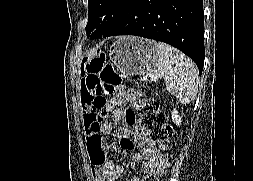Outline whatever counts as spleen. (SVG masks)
I'll return each instance as SVG.
<instances>
[{
  "label": "spleen",
  "mask_w": 253,
  "mask_h": 181,
  "mask_svg": "<svg viewBox=\"0 0 253 181\" xmlns=\"http://www.w3.org/2000/svg\"><path fill=\"white\" fill-rule=\"evenodd\" d=\"M157 49L156 74L164 79L166 90L176 95L181 103L194 100L198 92L199 72L193 61L165 43L158 42Z\"/></svg>",
  "instance_id": "spleen-1"
}]
</instances>
